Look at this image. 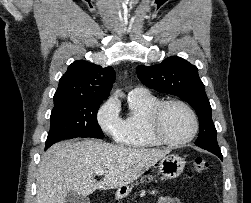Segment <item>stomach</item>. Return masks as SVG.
<instances>
[{
  "label": "stomach",
  "instance_id": "stomach-1",
  "mask_svg": "<svg viewBox=\"0 0 251 203\" xmlns=\"http://www.w3.org/2000/svg\"><path fill=\"white\" fill-rule=\"evenodd\" d=\"M185 161L176 154H169L163 157L159 162V171L167 179L178 177L184 170ZM154 180L151 175H143L140 177L141 184H147ZM131 192L129 186H121L116 192L118 198H124Z\"/></svg>",
  "mask_w": 251,
  "mask_h": 203
}]
</instances>
